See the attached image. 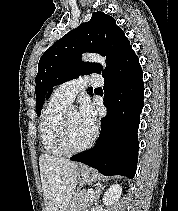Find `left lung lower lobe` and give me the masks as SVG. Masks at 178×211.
Listing matches in <instances>:
<instances>
[{"mask_svg":"<svg viewBox=\"0 0 178 211\" xmlns=\"http://www.w3.org/2000/svg\"><path fill=\"white\" fill-rule=\"evenodd\" d=\"M143 72L132 48L104 76V105L97 145L70 158L96 168L103 175L133 178L138 161L139 116L143 109Z\"/></svg>","mask_w":178,"mask_h":211,"instance_id":"obj_1","label":"left lung lower lobe"}]
</instances>
